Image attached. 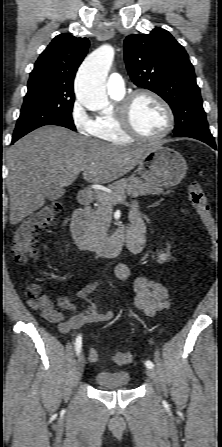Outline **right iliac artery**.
<instances>
[{
	"label": "right iliac artery",
	"mask_w": 222,
	"mask_h": 447,
	"mask_svg": "<svg viewBox=\"0 0 222 447\" xmlns=\"http://www.w3.org/2000/svg\"><path fill=\"white\" fill-rule=\"evenodd\" d=\"M81 348H82V337L81 335H79L77 336L75 341V350L77 355L81 352Z\"/></svg>",
	"instance_id": "right-iliac-artery-1"
}]
</instances>
